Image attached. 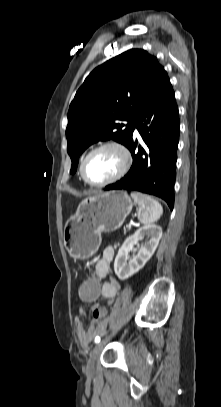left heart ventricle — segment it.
Wrapping results in <instances>:
<instances>
[{"label":"left heart ventricle","instance_id":"b2bd125f","mask_svg":"<svg viewBox=\"0 0 221 407\" xmlns=\"http://www.w3.org/2000/svg\"><path fill=\"white\" fill-rule=\"evenodd\" d=\"M123 165V157L113 148L95 153L86 164V175L92 182H102L116 175Z\"/></svg>","mask_w":221,"mask_h":407}]
</instances>
